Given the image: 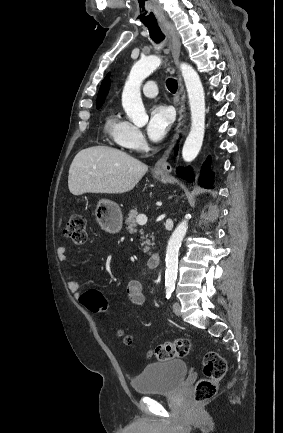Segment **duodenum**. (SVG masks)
Here are the masks:
<instances>
[{
  "mask_svg": "<svg viewBox=\"0 0 283 433\" xmlns=\"http://www.w3.org/2000/svg\"><path fill=\"white\" fill-rule=\"evenodd\" d=\"M161 262V255L158 252L153 253L148 259V267L149 268H157Z\"/></svg>",
  "mask_w": 283,
  "mask_h": 433,
  "instance_id": "410a0bca",
  "label": "duodenum"
}]
</instances>
